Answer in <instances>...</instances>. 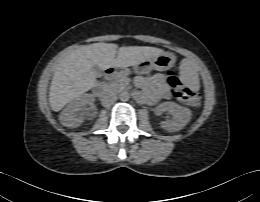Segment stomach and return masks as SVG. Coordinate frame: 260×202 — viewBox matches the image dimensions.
Segmentation results:
<instances>
[{
  "label": "stomach",
  "instance_id": "stomach-1",
  "mask_svg": "<svg viewBox=\"0 0 260 202\" xmlns=\"http://www.w3.org/2000/svg\"><path fill=\"white\" fill-rule=\"evenodd\" d=\"M176 57L174 54L169 52H163L162 54L147 59L139 64L136 65V68L143 73H146L152 69L158 71H165L173 67L175 64ZM127 72V69L124 68V73Z\"/></svg>",
  "mask_w": 260,
  "mask_h": 202
}]
</instances>
